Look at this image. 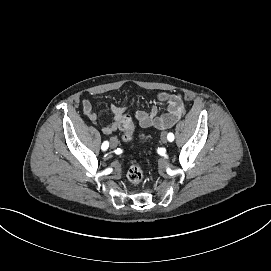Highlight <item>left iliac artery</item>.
<instances>
[{"mask_svg":"<svg viewBox=\"0 0 271 271\" xmlns=\"http://www.w3.org/2000/svg\"><path fill=\"white\" fill-rule=\"evenodd\" d=\"M167 137H168V140H169L170 142H172V141L174 140V135H173V133H169Z\"/></svg>","mask_w":271,"mask_h":271,"instance_id":"1","label":"left iliac artery"}]
</instances>
